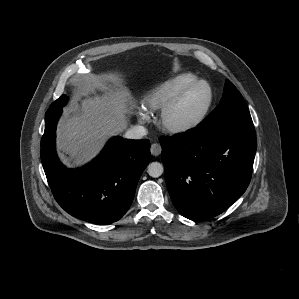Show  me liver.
Returning <instances> with one entry per match:
<instances>
[{"label":"liver","mask_w":299,"mask_h":299,"mask_svg":"<svg viewBox=\"0 0 299 299\" xmlns=\"http://www.w3.org/2000/svg\"><path fill=\"white\" fill-rule=\"evenodd\" d=\"M79 87L84 98L66 112L57 142L62 158L74 165L93 157L104 139L125 129L132 99L124 81L111 73L89 75Z\"/></svg>","instance_id":"liver-1"}]
</instances>
